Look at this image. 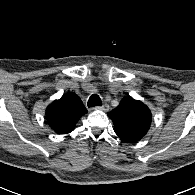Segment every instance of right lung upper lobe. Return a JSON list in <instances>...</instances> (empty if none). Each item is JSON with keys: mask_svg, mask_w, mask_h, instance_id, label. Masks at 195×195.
Wrapping results in <instances>:
<instances>
[{"mask_svg": "<svg viewBox=\"0 0 195 195\" xmlns=\"http://www.w3.org/2000/svg\"><path fill=\"white\" fill-rule=\"evenodd\" d=\"M86 113L80 97L70 92L47 107L46 119L56 133L67 134L75 129L78 120Z\"/></svg>", "mask_w": 195, "mask_h": 195, "instance_id": "1", "label": "right lung upper lobe"}]
</instances>
